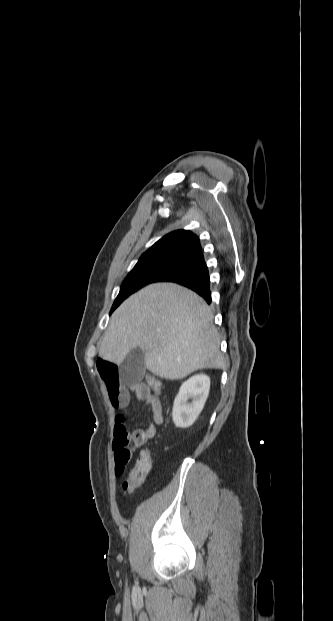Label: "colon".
<instances>
[{"mask_svg":"<svg viewBox=\"0 0 333 621\" xmlns=\"http://www.w3.org/2000/svg\"><path fill=\"white\" fill-rule=\"evenodd\" d=\"M147 383L149 384L152 391L156 394H159L161 391V381L153 376L149 375L146 378ZM151 469V455L148 450H142L129 472L128 476L124 480V489L127 494L132 493L136 490L145 480L149 471ZM122 473H117V476H120Z\"/></svg>","mask_w":333,"mask_h":621,"instance_id":"5ec220e1","label":"colon"}]
</instances>
